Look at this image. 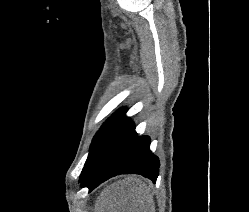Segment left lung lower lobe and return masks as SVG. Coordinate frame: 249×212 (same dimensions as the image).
I'll list each match as a JSON object with an SVG mask.
<instances>
[{"mask_svg": "<svg viewBox=\"0 0 249 212\" xmlns=\"http://www.w3.org/2000/svg\"><path fill=\"white\" fill-rule=\"evenodd\" d=\"M141 174L156 182L159 160L150 151V138L138 136L125 115L103 136L81 173L82 187L89 191L119 174Z\"/></svg>", "mask_w": 249, "mask_h": 212, "instance_id": "obj_1", "label": "left lung lower lobe"}]
</instances>
